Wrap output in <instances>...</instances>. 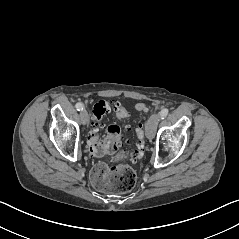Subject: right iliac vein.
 <instances>
[{
	"label": "right iliac vein",
	"mask_w": 239,
	"mask_h": 239,
	"mask_svg": "<svg viewBox=\"0 0 239 239\" xmlns=\"http://www.w3.org/2000/svg\"><path fill=\"white\" fill-rule=\"evenodd\" d=\"M80 119H81V123L83 125H86L88 123L89 120V116L86 110H82L80 113Z\"/></svg>",
	"instance_id": "63e3f726"
}]
</instances>
